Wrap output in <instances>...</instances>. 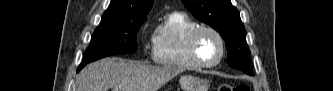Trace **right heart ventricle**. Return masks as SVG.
Returning <instances> with one entry per match:
<instances>
[{
	"mask_svg": "<svg viewBox=\"0 0 333 91\" xmlns=\"http://www.w3.org/2000/svg\"><path fill=\"white\" fill-rule=\"evenodd\" d=\"M197 26V23L183 12L167 14L153 36V61L163 67L180 71L200 68L192 60L188 46L189 34Z\"/></svg>",
	"mask_w": 333,
	"mask_h": 91,
	"instance_id": "right-heart-ventricle-1",
	"label": "right heart ventricle"
}]
</instances>
